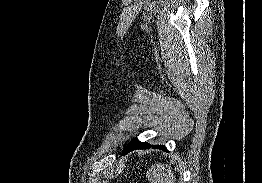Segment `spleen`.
Segmentation results:
<instances>
[{
    "instance_id": "1",
    "label": "spleen",
    "mask_w": 262,
    "mask_h": 183,
    "mask_svg": "<svg viewBox=\"0 0 262 183\" xmlns=\"http://www.w3.org/2000/svg\"><path fill=\"white\" fill-rule=\"evenodd\" d=\"M151 183H174L175 177L168 165L164 166L161 163L153 165L146 174Z\"/></svg>"
}]
</instances>
